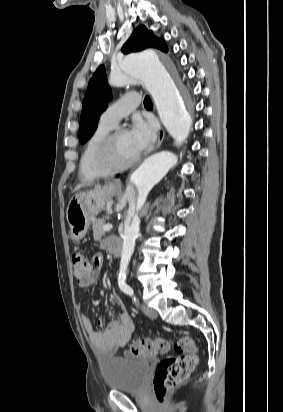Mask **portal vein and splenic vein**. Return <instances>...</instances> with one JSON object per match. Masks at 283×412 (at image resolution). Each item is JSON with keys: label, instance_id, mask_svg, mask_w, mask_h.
I'll return each instance as SVG.
<instances>
[{"label": "portal vein and splenic vein", "instance_id": "obj_1", "mask_svg": "<svg viewBox=\"0 0 283 412\" xmlns=\"http://www.w3.org/2000/svg\"><path fill=\"white\" fill-rule=\"evenodd\" d=\"M112 229V224H105L103 226V231H110Z\"/></svg>", "mask_w": 283, "mask_h": 412}]
</instances>
